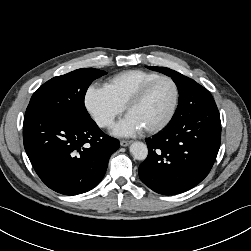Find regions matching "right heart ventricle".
<instances>
[{"instance_id": "obj_1", "label": "right heart ventricle", "mask_w": 251, "mask_h": 251, "mask_svg": "<svg viewBox=\"0 0 251 251\" xmlns=\"http://www.w3.org/2000/svg\"><path fill=\"white\" fill-rule=\"evenodd\" d=\"M159 75V73L141 69L126 70L108 78L104 83V88L121 106L125 107L142 85Z\"/></svg>"}]
</instances>
